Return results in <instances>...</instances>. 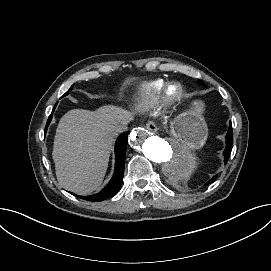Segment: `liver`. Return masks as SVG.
I'll return each instance as SVG.
<instances>
[{
	"instance_id": "liver-1",
	"label": "liver",
	"mask_w": 271,
	"mask_h": 271,
	"mask_svg": "<svg viewBox=\"0 0 271 271\" xmlns=\"http://www.w3.org/2000/svg\"><path fill=\"white\" fill-rule=\"evenodd\" d=\"M131 120L132 112L113 105L64 114L52 152L59 184L80 195L96 190L105 176L116 130Z\"/></svg>"
}]
</instances>
